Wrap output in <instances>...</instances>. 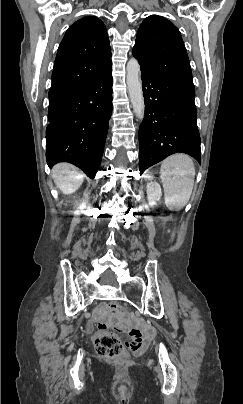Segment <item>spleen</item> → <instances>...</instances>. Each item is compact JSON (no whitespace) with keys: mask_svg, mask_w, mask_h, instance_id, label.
Masks as SVG:
<instances>
[{"mask_svg":"<svg viewBox=\"0 0 243 404\" xmlns=\"http://www.w3.org/2000/svg\"><path fill=\"white\" fill-rule=\"evenodd\" d=\"M195 168L190 156H169L160 168L165 204L169 210H180L189 202L194 186Z\"/></svg>","mask_w":243,"mask_h":404,"instance_id":"obj_1","label":"spleen"}]
</instances>
